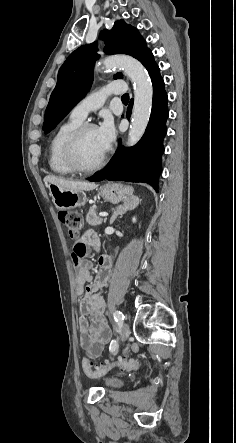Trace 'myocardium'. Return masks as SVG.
<instances>
[{
	"mask_svg": "<svg viewBox=\"0 0 236 443\" xmlns=\"http://www.w3.org/2000/svg\"><path fill=\"white\" fill-rule=\"evenodd\" d=\"M91 128H97L93 123H82L68 137L64 144L63 156L68 167L76 173L90 174L99 170L106 162L108 151L100 157V159L92 166H83L77 158V147L85 132Z\"/></svg>",
	"mask_w": 236,
	"mask_h": 443,
	"instance_id": "1",
	"label": "myocardium"
}]
</instances>
